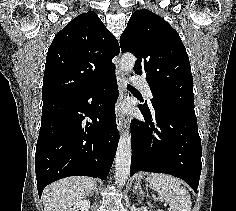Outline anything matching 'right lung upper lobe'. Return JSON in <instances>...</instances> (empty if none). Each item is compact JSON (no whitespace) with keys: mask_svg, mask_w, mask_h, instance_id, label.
Returning a JSON list of instances; mask_svg holds the SVG:
<instances>
[{"mask_svg":"<svg viewBox=\"0 0 236 211\" xmlns=\"http://www.w3.org/2000/svg\"><path fill=\"white\" fill-rule=\"evenodd\" d=\"M119 44L92 11L81 14L59 31L47 53L43 101L89 91L115 73L113 57Z\"/></svg>","mask_w":236,"mask_h":211,"instance_id":"cb5924a9","label":"right lung upper lobe"}]
</instances>
